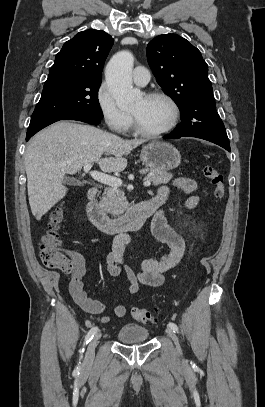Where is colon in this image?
Listing matches in <instances>:
<instances>
[{"mask_svg": "<svg viewBox=\"0 0 265 407\" xmlns=\"http://www.w3.org/2000/svg\"><path fill=\"white\" fill-rule=\"evenodd\" d=\"M203 174L213 187L214 199L216 201L223 200L226 187L222 173L214 165L206 164L203 167ZM63 218L64 214L61 207L51 213L48 230L41 239L39 255L46 267L71 271L74 267V255L62 246L58 233ZM131 314L135 320L143 323H153L157 320L156 314L147 309L133 308Z\"/></svg>", "mask_w": 265, "mask_h": 407, "instance_id": "colon-1", "label": "colon"}]
</instances>
